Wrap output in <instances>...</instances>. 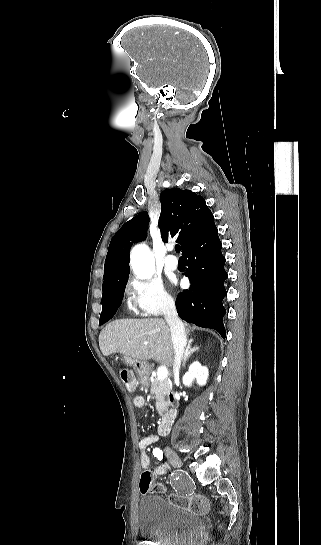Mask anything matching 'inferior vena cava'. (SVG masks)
Listing matches in <instances>:
<instances>
[{"mask_svg":"<svg viewBox=\"0 0 321 545\" xmlns=\"http://www.w3.org/2000/svg\"><path fill=\"white\" fill-rule=\"evenodd\" d=\"M164 317L170 327V333L173 343V375H178L181 367V361L185 353L186 347V335L184 331V325L178 319L177 311L175 309V303L173 299H167L164 305Z\"/></svg>","mask_w":321,"mask_h":545,"instance_id":"602c4592","label":"inferior vena cava"}]
</instances>
